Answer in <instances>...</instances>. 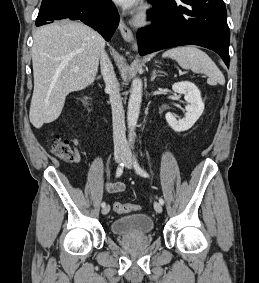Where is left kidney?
Returning a JSON list of instances; mask_svg holds the SVG:
<instances>
[{
	"label": "left kidney",
	"mask_w": 259,
	"mask_h": 283,
	"mask_svg": "<svg viewBox=\"0 0 259 283\" xmlns=\"http://www.w3.org/2000/svg\"><path fill=\"white\" fill-rule=\"evenodd\" d=\"M174 92L185 95L186 106L185 117L177 120L171 113L165 115L169 126L176 132L189 130L202 115L204 103L201 99V93L194 83L182 81L172 86Z\"/></svg>",
	"instance_id": "1"
}]
</instances>
